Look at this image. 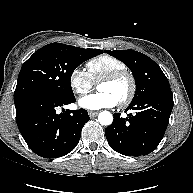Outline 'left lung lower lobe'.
I'll use <instances>...</instances> for the list:
<instances>
[{
	"label": "left lung lower lobe",
	"instance_id": "1",
	"mask_svg": "<svg viewBox=\"0 0 193 193\" xmlns=\"http://www.w3.org/2000/svg\"><path fill=\"white\" fill-rule=\"evenodd\" d=\"M169 82L163 83L126 110H134L127 118L114 114L113 123L105 129L109 145L125 156L147 155L162 140L173 108Z\"/></svg>",
	"mask_w": 193,
	"mask_h": 193
}]
</instances>
